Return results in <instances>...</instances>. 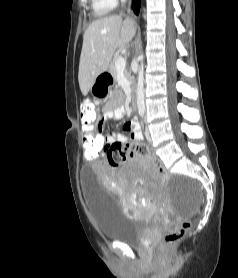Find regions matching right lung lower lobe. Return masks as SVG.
Here are the masks:
<instances>
[{
    "instance_id": "right-lung-lower-lobe-1",
    "label": "right lung lower lobe",
    "mask_w": 238,
    "mask_h": 278,
    "mask_svg": "<svg viewBox=\"0 0 238 278\" xmlns=\"http://www.w3.org/2000/svg\"><path fill=\"white\" fill-rule=\"evenodd\" d=\"M139 8H140V0H135V2L133 3V10L135 14L139 13Z\"/></svg>"
}]
</instances>
